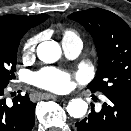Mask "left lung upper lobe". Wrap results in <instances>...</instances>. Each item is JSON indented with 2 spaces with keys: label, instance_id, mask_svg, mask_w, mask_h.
<instances>
[{
  "label": "left lung upper lobe",
  "instance_id": "5c2ea615",
  "mask_svg": "<svg viewBox=\"0 0 131 131\" xmlns=\"http://www.w3.org/2000/svg\"><path fill=\"white\" fill-rule=\"evenodd\" d=\"M82 24L93 37L98 53L96 77L91 92L131 98V29L116 14L100 8L68 16Z\"/></svg>",
  "mask_w": 131,
  "mask_h": 131
}]
</instances>
